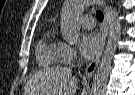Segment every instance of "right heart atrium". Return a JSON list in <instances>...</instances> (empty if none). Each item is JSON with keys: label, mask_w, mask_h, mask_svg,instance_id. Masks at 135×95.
Masks as SVG:
<instances>
[{"label": "right heart atrium", "mask_w": 135, "mask_h": 95, "mask_svg": "<svg viewBox=\"0 0 135 95\" xmlns=\"http://www.w3.org/2000/svg\"><path fill=\"white\" fill-rule=\"evenodd\" d=\"M75 58H76L75 49L66 43H62V45H61V61L70 62Z\"/></svg>", "instance_id": "d8ad5b80"}]
</instances>
